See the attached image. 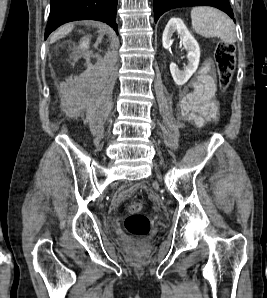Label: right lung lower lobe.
<instances>
[{
    "instance_id": "1",
    "label": "right lung lower lobe",
    "mask_w": 267,
    "mask_h": 298,
    "mask_svg": "<svg viewBox=\"0 0 267 298\" xmlns=\"http://www.w3.org/2000/svg\"><path fill=\"white\" fill-rule=\"evenodd\" d=\"M118 0H50L51 8L45 39L60 25L76 20H99L118 34L115 22Z\"/></svg>"
}]
</instances>
